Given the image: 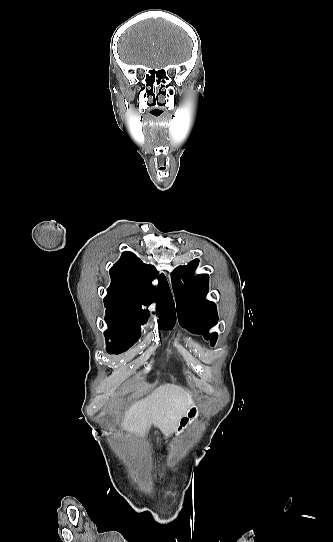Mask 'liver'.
<instances>
[{
    "instance_id": "obj_1",
    "label": "liver",
    "mask_w": 333,
    "mask_h": 542,
    "mask_svg": "<svg viewBox=\"0 0 333 542\" xmlns=\"http://www.w3.org/2000/svg\"><path fill=\"white\" fill-rule=\"evenodd\" d=\"M192 406L193 400L189 392L175 384H164L151 396L134 402L131 408L126 410L121 428L136 436H145L154 424L164 436H170Z\"/></svg>"
}]
</instances>
